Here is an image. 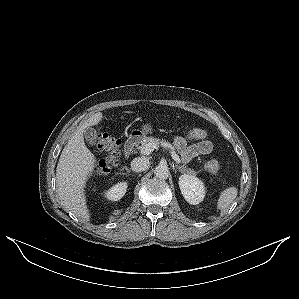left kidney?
Segmentation results:
<instances>
[{
  "instance_id": "obj_1",
  "label": "left kidney",
  "mask_w": 299,
  "mask_h": 299,
  "mask_svg": "<svg viewBox=\"0 0 299 299\" xmlns=\"http://www.w3.org/2000/svg\"><path fill=\"white\" fill-rule=\"evenodd\" d=\"M179 187L183 197L190 204H199L205 196L204 183L193 175H181L179 177Z\"/></svg>"
}]
</instances>
